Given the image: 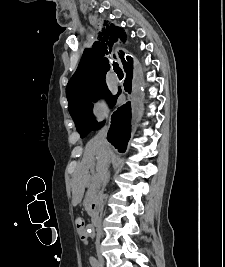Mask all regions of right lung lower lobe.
Here are the masks:
<instances>
[{"instance_id": "obj_1", "label": "right lung lower lobe", "mask_w": 225, "mask_h": 267, "mask_svg": "<svg viewBox=\"0 0 225 267\" xmlns=\"http://www.w3.org/2000/svg\"><path fill=\"white\" fill-rule=\"evenodd\" d=\"M132 67H133L132 63L128 64L127 67H125V72L127 73V76H126V80L124 83V87L127 92H130L131 90ZM120 93H121V89L119 88V92L116 95V98ZM116 112L112 115V118H111L112 125L108 132L107 139L116 148H118L120 152H124L127 146V142L130 137V119H131L130 103L123 105Z\"/></svg>"}]
</instances>
